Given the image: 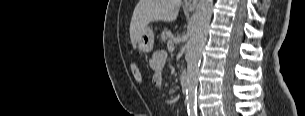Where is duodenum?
I'll return each instance as SVG.
<instances>
[{"mask_svg": "<svg viewBox=\"0 0 305 116\" xmlns=\"http://www.w3.org/2000/svg\"><path fill=\"white\" fill-rule=\"evenodd\" d=\"M180 84H181V92L184 94L188 87L187 76L184 71H182L180 75Z\"/></svg>", "mask_w": 305, "mask_h": 116, "instance_id": "1", "label": "duodenum"}]
</instances>
